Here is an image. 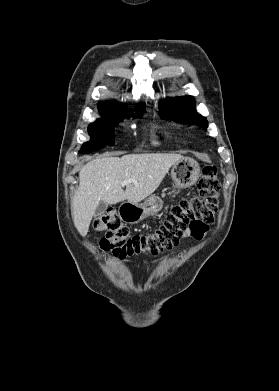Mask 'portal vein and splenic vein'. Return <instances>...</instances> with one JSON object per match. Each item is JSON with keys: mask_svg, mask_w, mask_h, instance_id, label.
Segmentation results:
<instances>
[{"mask_svg": "<svg viewBox=\"0 0 279 391\" xmlns=\"http://www.w3.org/2000/svg\"><path fill=\"white\" fill-rule=\"evenodd\" d=\"M132 182H135V181L134 180H124L122 182V185L124 186V185H127V184L132 183Z\"/></svg>", "mask_w": 279, "mask_h": 391, "instance_id": "obj_1", "label": "portal vein and splenic vein"}]
</instances>
